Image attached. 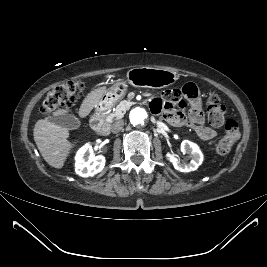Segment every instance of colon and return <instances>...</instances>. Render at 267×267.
<instances>
[{
    "mask_svg": "<svg viewBox=\"0 0 267 267\" xmlns=\"http://www.w3.org/2000/svg\"><path fill=\"white\" fill-rule=\"evenodd\" d=\"M83 89L84 84L77 80L56 85L45 96L42 102V111L51 113L59 107L75 103ZM207 113L211 125L215 127L224 125L225 134L218 141L216 149L219 154H227L240 137L239 125L233 119L225 120L226 107L216 94L209 97Z\"/></svg>",
    "mask_w": 267,
    "mask_h": 267,
    "instance_id": "obj_1",
    "label": "colon"
}]
</instances>
